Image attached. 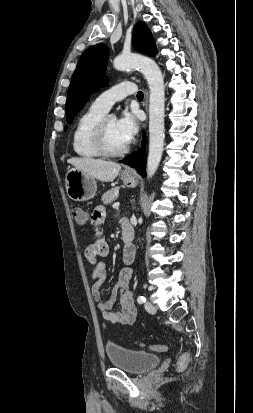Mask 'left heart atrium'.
Instances as JSON below:
<instances>
[{
  "mask_svg": "<svg viewBox=\"0 0 253 413\" xmlns=\"http://www.w3.org/2000/svg\"><path fill=\"white\" fill-rule=\"evenodd\" d=\"M139 129L138 118L135 113L125 111L116 121V130L125 145L131 143Z\"/></svg>",
  "mask_w": 253,
  "mask_h": 413,
  "instance_id": "obj_1",
  "label": "left heart atrium"
}]
</instances>
